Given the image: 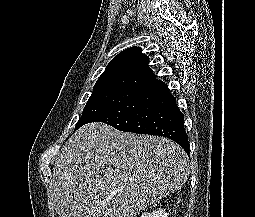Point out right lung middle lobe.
Instances as JSON below:
<instances>
[{"instance_id": "right-lung-middle-lobe-1", "label": "right lung middle lobe", "mask_w": 255, "mask_h": 217, "mask_svg": "<svg viewBox=\"0 0 255 217\" xmlns=\"http://www.w3.org/2000/svg\"><path fill=\"white\" fill-rule=\"evenodd\" d=\"M144 90L141 86H110L94 89L83 110V114L75 126V130L89 123L96 116L116 108Z\"/></svg>"}]
</instances>
